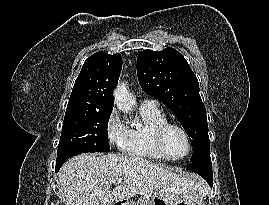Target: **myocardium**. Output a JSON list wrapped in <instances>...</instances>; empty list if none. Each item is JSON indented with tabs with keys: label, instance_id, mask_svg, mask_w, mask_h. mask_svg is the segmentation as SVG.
<instances>
[{
	"label": "myocardium",
	"instance_id": "myocardium-1",
	"mask_svg": "<svg viewBox=\"0 0 269 205\" xmlns=\"http://www.w3.org/2000/svg\"><path fill=\"white\" fill-rule=\"evenodd\" d=\"M170 128H176L182 132L187 142V152L182 157H173L165 149L164 138ZM152 143L157 153L168 161H181L186 159L192 151V140L188 131L180 124L172 121H164L157 125L152 133Z\"/></svg>",
	"mask_w": 269,
	"mask_h": 205
}]
</instances>
